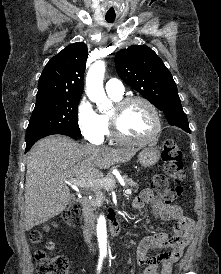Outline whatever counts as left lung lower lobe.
Here are the masks:
<instances>
[{
  "label": "left lung lower lobe",
  "instance_id": "1",
  "mask_svg": "<svg viewBox=\"0 0 221 274\" xmlns=\"http://www.w3.org/2000/svg\"><path fill=\"white\" fill-rule=\"evenodd\" d=\"M172 126H177V127L181 128V129H183L184 131H186L188 133H191V130H190V128H189L188 125H180V124H178V125H172Z\"/></svg>",
  "mask_w": 221,
  "mask_h": 274
}]
</instances>
